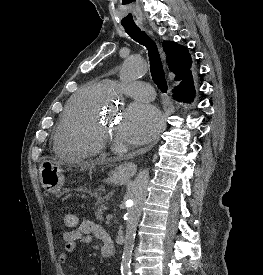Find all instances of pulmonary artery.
<instances>
[{"instance_id":"e3ab8cb5","label":"pulmonary artery","mask_w":263,"mask_h":275,"mask_svg":"<svg viewBox=\"0 0 263 275\" xmlns=\"http://www.w3.org/2000/svg\"><path fill=\"white\" fill-rule=\"evenodd\" d=\"M102 83L109 92L119 88V84L115 80L106 79ZM122 92L132 98L145 101L152 100L155 95L153 87L143 81H131L125 84L122 87Z\"/></svg>"}]
</instances>
